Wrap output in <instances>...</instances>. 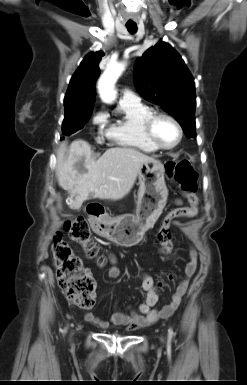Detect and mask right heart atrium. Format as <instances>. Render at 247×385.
<instances>
[{
    "mask_svg": "<svg viewBox=\"0 0 247 385\" xmlns=\"http://www.w3.org/2000/svg\"><path fill=\"white\" fill-rule=\"evenodd\" d=\"M107 121V115L105 112L103 111H99L97 112L93 119H92V122L93 124L96 126V127H101L103 126Z\"/></svg>",
    "mask_w": 247,
    "mask_h": 385,
    "instance_id": "right-heart-atrium-1",
    "label": "right heart atrium"
}]
</instances>
